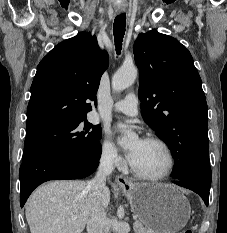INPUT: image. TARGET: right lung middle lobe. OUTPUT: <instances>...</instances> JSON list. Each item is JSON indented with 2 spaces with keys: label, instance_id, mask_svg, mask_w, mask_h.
Listing matches in <instances>:
<instances>
[{
  "label": "right lung middle lobe",
  "instance_id": "1",
  "mask_svg": "<svg viewBox=\"0 0 227 233\" xmlns=\"http://www.w3.org/2000/svg\"><path fill=\"white\" fill-rule=\"evenodd\" d=\"M101 135V128L93 126L86 118L28 134L25 138L23 161L53 151L87 154L100 145L98 140Z\"/></svg>",
  "mask_w": 227,
  "mask_h": 233
}]
</instances>
